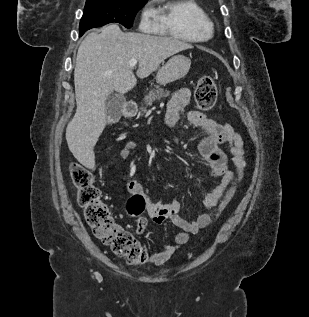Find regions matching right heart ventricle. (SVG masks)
<instances>
[{
    "label": "right heart ventricle",
    "mask_w": 309,
    "mask_h": 317,
    "mask_svg": "<svg viewBox=\"0 0 309 317\" xmlns=\"http://www.w3.org/2000/svg\"><path fill=\"white\" fill-rule=\"evenodd\" d=\"M154 10L158 29L187 42H203L213 32V24L195 0H160Z\"/></svg>",
    "instance_id": "1"
}]
</instances>
